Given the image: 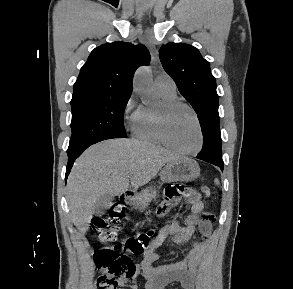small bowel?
Wrapping results in <instances>:
<instances>
[{"label":"small bowel","mask_w":293,"mask_h":289,"mask_svg":"<svg viewBox=\"0 0 293 289\" xmlns=\"http://www.w3.org/2000/svg\"><path fill=\"white\" fill-rule=\"evenodd\" d=\"M186 198L191 205V215L185 225L178 221H172L164 226L154 247L160 245L166 239L175 244L189 242L197 227L200 229L202 240L195 241L188 249L183 260L156 266L155 262L162 258L163 254L154 249L147 251L140 263L139 271L145 279V289H166L169 286L179 284L183 289H195V279L198 266L206 251V242L212 232V215L203 212L204 203L196 192H189ZM132 289H138L134 284Z\"/></svg>","instance_id":"obj_1"}]
</instances>
